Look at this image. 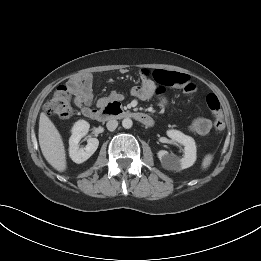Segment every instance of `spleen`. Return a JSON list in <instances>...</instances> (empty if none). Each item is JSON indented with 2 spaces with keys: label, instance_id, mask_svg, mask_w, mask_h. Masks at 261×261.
<instances>
[{
  "label": "spleen",
  "instance_id": "spleen-1",
  "mask_svg": "<svg viewBox=\"0 0 261 261\" xmlns=\"http://www.w3.org/2000/svg\"><path fill=\"white\" fill-rule=\"evenodd\" d=\"M212 160H213V155L207 154L202 161V168L204 170L207 169L211 165Z\"/></svg>",
  "mask_w": 261,
  "mask_h": 261
}]
</instances>
